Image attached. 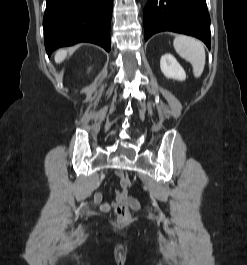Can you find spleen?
Here are the masks:
<instances>
[{
	"instance_id": "1",
	"label": "spleen",
	"mask_w": 247,
	"mask_h": 265,
	"mask_svg": "<svg viewBox=\"0 0 247 265\" xmlns=\"http://www.w3.org/2000/svg\"><path fill=\"white\" fill-rule=\"evenodd\" d=\"M176 52L193 67L195 77H200L205 66V49L202 42L185 35H178L173 41Z\"/></svg>"
}]
</instances>
